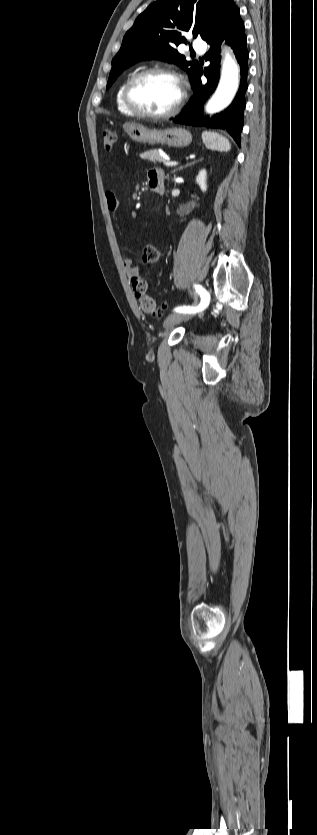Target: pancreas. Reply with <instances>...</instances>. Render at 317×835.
Here are the masks:
<instances>
[{
    "instance_id": "cf45deb5",
    "label": "pancreas",
    "mask_w": 317,
    "mask_h": 835,
    "mask_svg": "<svg viewBox=\"0 0 317 835\" xmlns=\"http://www.w3.org/2000/svg\"><path fill=\"white\" fill-rule=\"evenodd\" d=\"M140 157L142 159L147 160V162H151L153 164H156L157 162H160V161L163 160L160 153L155 149L154 150H149V151H146V152L140 154Z\"/></svg>"
}]
</instances>
